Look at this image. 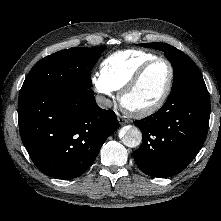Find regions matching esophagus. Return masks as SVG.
Segmentation results:
<instances>
[{
	"label": "esophagus",
	"mask_w": 221,
	"mask_h": 221,
	"mask_svg": "<svg viewBox=\"0 0 221 221\" xmlns=\"http://www.w3.org/2000/svg\"><path fill=\"white\" fill-rule=\"evenodd\" d=\"M118 122L120 125H124V124L128 123V121L126 119H124L123 117H118Z\"/></svg>",
	"instance_id": "34e87169"
}]
</instances>
